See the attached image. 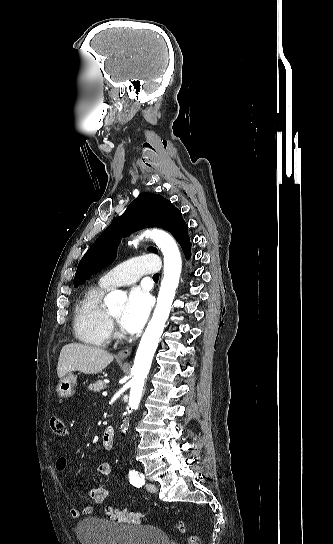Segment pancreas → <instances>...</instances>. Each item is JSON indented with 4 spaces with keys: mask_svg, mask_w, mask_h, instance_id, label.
<instances>
[{
    "mask_svg": "<svg viewBox=\"0 0 333 544\" xmlns=\"http://www.w3.org/2000/svg\"><path fill=\"white\" fill-rule=\"evenodd\" d=\"M106 387H107L106 383L103 380H98L95 383L90 384L88 389L90 391L100 392L101 390L105 389Z\"/></svg>",
    "mask_w": 333,
    "mask_h": 544,
    "instance_id": "cf45deb5",
    "label": "pancreas"
}]
</instances>
